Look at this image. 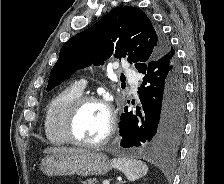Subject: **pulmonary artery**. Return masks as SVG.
Instances as JSON below:
<instances>
[{"label":"pulmonary artery","mask_w":224,"mask_h":184,"mask_svg":"<svg viewBox=\"0 0 224 184\" xmlns=\"http://www.w3.org/2000/svg\"><path fill=\"white\" fill-rule=\"evenodd\" d=\"M123 73L127 76V77H132L134 75V72L132 70H130L128 67H124L123 69ZM86 82L84 80L79 81L76 84V87L79 90H83L85 88ZM138 88V84L136 82L132 83V89L133 91H136Z\"/></svg>","instance_id":"obj_1"}]
</instances>
